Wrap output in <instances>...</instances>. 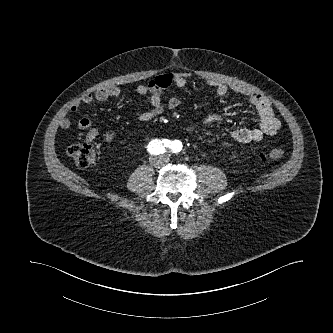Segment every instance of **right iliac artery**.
<instances>
[{
  "label": "right iliac artery",
  "mask_w": 333,
  "mask_h": 333,
  "mask_svg": "<svg viewBox=\"0 0 333 333\" xmlns=\"http://www.w3.org/2000/svg\"><path fill=\"white\" fill-rule=\"evenodd\" d=\"M170 140L164 139L162 141L155 139L149 142L147 150L150 154H163L165 153V147H170Z\"/></svg>",
  "instance_id": "right-iliac-artery-1"
}]
</instances>
